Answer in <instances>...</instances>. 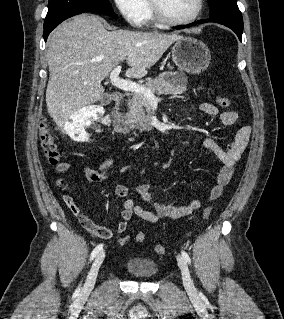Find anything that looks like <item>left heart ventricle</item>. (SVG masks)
<instances>
[{
  "mask_svg": "<svg viewBox=\"0 0 284 319\" xmlns=\"http://www.w3.org/2000/svg\"><path fill=\"white\" fill-rule=\"evenodd\" d=\"M171 17L184 19L192 16L197 8V0H157Z\"/></svg>",
  "mask_w": 284,
  "mask_h": 319,
  "instance_id": "1",
  "label": "left heart ventricle"
}]
</instances>
